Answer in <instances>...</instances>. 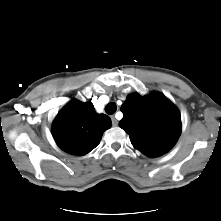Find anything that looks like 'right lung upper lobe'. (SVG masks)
Masks as SVG:
<instances>
[{"label": "right lung upper lobe", "mask_w": 221, "mask_h": 221, "mask_svg": "<svg viewBox=\"0 0 221 221\" xmlns=\"http://www.w3.org/2000/svg\"><path fill=\"white\" fill-rule=\"evenodd\" d=\"M111 124L107 115L95 112L91 102L72 100L55 118L53 137L62 150L81 156L99 144Z\"/></svg>", "instance_id": "1"}]
</instances>
